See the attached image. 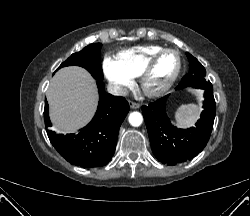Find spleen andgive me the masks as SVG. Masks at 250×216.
Here are the masks:
<instances>
[{
    "label": "spleen",
    "mask_w": 250,
    "mask_h": 216,
    "mask_svg": "<svg viewBox=\"0 0 250 216\" xmlns=\"http://www.w3.org/2000/svg\"><path fill=\"white\" fill-rule=\"evenodd\" d=\"M199 114V107L195 104L182 105L175 113L176 123L181 127H188L193 125L197 120Z\"/></svg>",
    "instance_id": "1"
}]
</instances>
